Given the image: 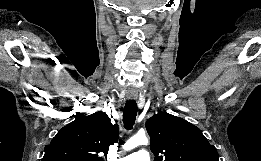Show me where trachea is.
Instances as JSON below:
<instances>
[{
  "label": "trachea",
  "mask_w": 261,
  "mask_h": 161,
  "mask_svg": "<svg viewBox=\"0 0 261 161\" xmlns=\"http://www.w3.org/2000/svg\"><path fill=\"white\" fill-rule=\"evenodd\" d=\"M137 103L135 100H128L123 110V123L126 130H131L137 116Z\"/></svg>",
  "instance_id": "obj_1"
}]
</instances>
